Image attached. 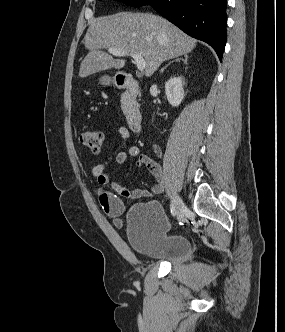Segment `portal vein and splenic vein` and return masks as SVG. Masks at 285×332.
<instances>
[{"instance_id":"18ae733b","label":"portal vein and splenic vein","mask_w":285,"mask_h":332,"mask_svg":"<svg viewBox=\"0 0 285 332\" xmlns=\"http://www.w3.org/2000/svg\"><path fill=\"white\" fill-rule=\"evenodd\" d=\"M108 52L112 55L119 56V57L130 55L134 59L136 65H137V68L140 71H143L146 67V61L144 60V58L140 54L128 53L126 51L116 49V48H109Z\"/></svg>"}]
</instances>
